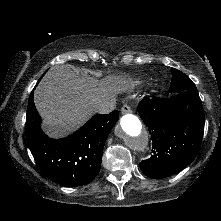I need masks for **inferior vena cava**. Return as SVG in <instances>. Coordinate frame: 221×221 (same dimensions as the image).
Masks as SVG:
<instances>
[{
	"label": "inferior vena cava",
	"instance_id": "obj_1",
	"mask_svg": "<svg viewBox=\"0 0 221 221\" xmlns=\"http://www.w3.org/2000/svg\"><path fill=\"white\" fill-rule=\"evenodd\" d=\"M116 102L114 99L102 103L96 110L100 114H108L115 109Z\"/></svg>",
	"mask_w": 221,
	"mask_h": 221
}]
</instances>
